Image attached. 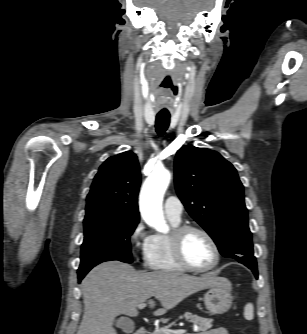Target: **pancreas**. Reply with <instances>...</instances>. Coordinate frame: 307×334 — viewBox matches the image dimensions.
Returning a JSON list of instances; mask_svg holds the SVG:
<instances>
[{"mask_svg":"<svg viewBox=\"0 0 307 334\" xmlns=\"http://www.w3.org/2000/svg\"><path fill=\"white\" fill-rule=\"evenodd\" d=\"M183 317L187 321H189L193 324H196L197 325V330L199 332L206 331V330H208L212 327L213 319L200 317V316L192 314L190 312H186L183 315ZM172 325H175V323H171L167 326H164L160 329H157L152 334H165L164 330L169 329ZM198 334H202V333H198Z\"/></svg>","mask_w":307,"mask_h":334,"instance_id":"obj_1","label":"pancreas"}]
</instances>
